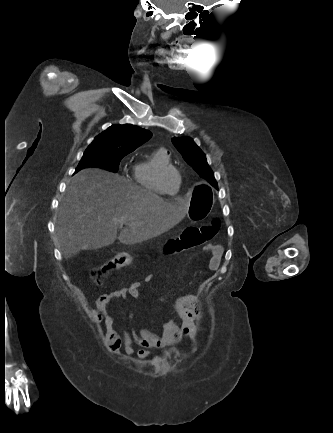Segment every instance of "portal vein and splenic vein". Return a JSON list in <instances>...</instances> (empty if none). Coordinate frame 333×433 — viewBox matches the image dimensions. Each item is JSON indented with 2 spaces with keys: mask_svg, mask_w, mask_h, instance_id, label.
<instances>
[{
  "mask_svg": "<svg viewBox=\"0 0 333 433\" xmlns=\"http://www.w3.org/2000/svg\"><path fill=\"white\" fill-rule=\"evenodd\" d=\"M126 219H127V216H122V217L118 220V222H119V223H123L124 221H126Z\"/></svg>",
  "mask_w": 333,
  "mask_h": 433,
  "instance_id": "portal-vein-and-splenic-vein-1",
  "label": "portal vein and splenic vein"
}]
</instances>
